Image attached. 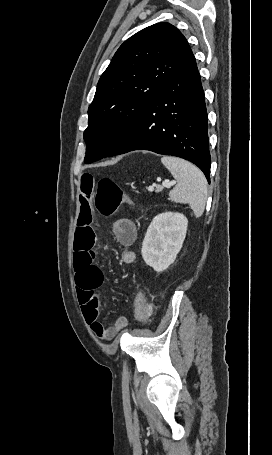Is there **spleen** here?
Returning <instances> with one entry per match:
<instances>
[{"label": "spleen", "mask_w": 272, "mask_h": 455, "mask_svg": "<svg viewBox=\"0 0 272 455\" xmlns=\"http://www.w3.org/2000/svg\"><path fill=\"white\" fill-rule=\"evenodd\" d=\"M161 162L177 181L169 193V199L189 204L195 217L202 216L207 199V181L202 171L192 163L176 157L163 156Z\"/></svg>", "instance_id": "1"}]
</instances>
